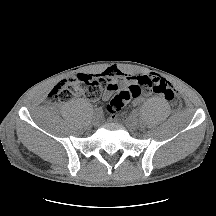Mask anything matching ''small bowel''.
Returning <instances> with one entry per match:
<instances>
[{
	"label": "small bowel",
	"mask_w": 216,
	"mask_h": 216,
	"mask_svg": "<svg viewBox=\"0 0 216 216\" xmlns=\"http://www.w3.org/2000/svg\"><path fill=\"white\" fill-rule=\"evenodd\" d=\"M97 76L104 78L107 84L102 96L104 100H108L121 87H129L138 84L141 78L144 77V75H131L117 67L107 68ZM144 94H148V92H144ZM141 101V94L133 98V104L135 105L139 104Z\"/></svg>",
	"instance_id": "small-bowel-1"
}]
</instances>
